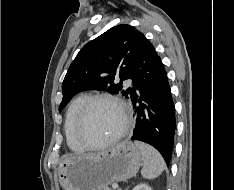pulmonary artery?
<instances>
[{"mask_svg":"<svg viewBox=\"0 0 234 190\" xmlns=\"http://www.w3.org/2000/svg\"><path fill=\"white\" fill-rule=\"evenodd\" d=\"M127 85H131V81H127Z\"/></svg>","mask_w":234,"mask_h":190,"instance_id":"1","label":"pulmonary artery"}]
</instances>
